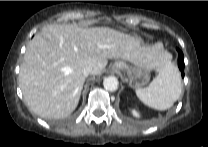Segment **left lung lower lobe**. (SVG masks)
<instances>
[{
    "label": "left lung lower lobe",
    "instance_id": "1",
    "mask_svg": "<svg viewBox=\"0 0 208 147\" xmlns=\"http://www.w3.org/2000/svg\"><path fill=\"white\" fill-rule=\"evenodd\" d=\"M178 51V67H179V70L181 71V75L182 77H184V55L182 53L181 50L177 49Z\"/></svg>",
    "mask_w": 208,
    "mask_h": 147
}]
</instances>
